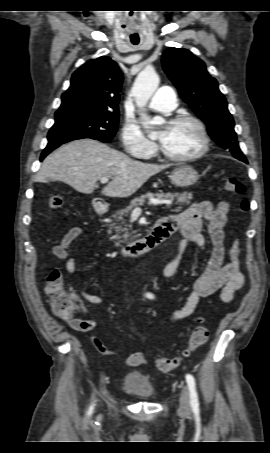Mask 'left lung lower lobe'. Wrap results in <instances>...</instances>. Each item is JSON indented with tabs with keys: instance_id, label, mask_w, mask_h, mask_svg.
<instances>
[{
	"instance_id": "obj_1",
	"label": "left lung lower lobe",
	"mask_w": 270,
	"mask_h": 453,
	"mask_svg": "<svg viewBox=\"0 0 270 453\" xmlns=\"http://www.w3.org/2000/svg\"><path fill=\"white\" fill-rule=\"evenodd\" d=\"M239 160H240V159H239ZM241 161H243V162L247 163V160H246V158H243V159H242Z\"/></svg>"
}]
</instances>
